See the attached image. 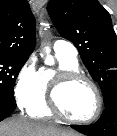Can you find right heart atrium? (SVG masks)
<instances>
[{"instance_id": "1", "label": "right heart atrium", "mask_w": 117, "mask_h": 136, "mask_svg": "<svg viewBox=\"0 0 117 136\" xmlns=\"http://www.w3.org/2000/svg\"><path fill=\"white\" fill-rule=\"evenodd\" d=\"M40 71L36 60L30 57L19 69L13 86L14 98L19 108H27L39 93Z\"/></svg>"}]
</instances>
